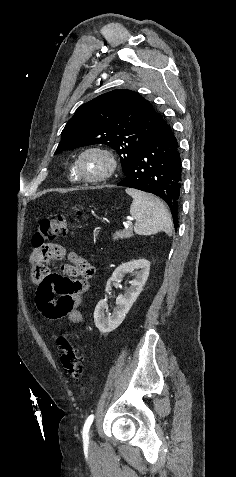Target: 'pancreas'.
<instances>
[{
	"instance_id": "1",
	"label": "pancreas",
	"mask_w": 236,
	"mask_h": 477,
	"mask_svg": "<svg viewBox=\"0 0 236 477\" xmlns=\"http://www.w3.org/2000/svg\"><path fill=\"white\" fill-rule=\"evenodd\" d=\"M134 235L132 228L123 230V231H118L113 234V240H118V239H127L130 238Z\"/></svg>"
}]
</instances>
